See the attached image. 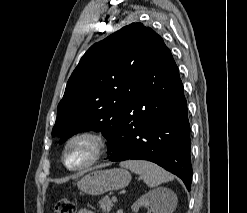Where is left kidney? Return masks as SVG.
Listing matches in <instances>:
<instances>
[{
  "mask_svg": "<svg viewBox=\"0 0 247 213\" xmlns=\"http://www.w3.org/2000/svg\"><path fill=\"white\" fill-rule=\"evenodd\" d=\"M165 195L161 190H154L140 197L133 205L132 210L137 213L142 206L150 207L153 213H163L162 203Z\"/></svg>",
  "mask_w": 247,
  "mask_h": 213,
  "instance_id": "1",
  "label": "left kidney"
}]
</instances>
